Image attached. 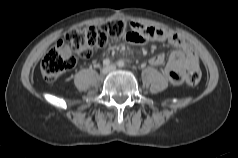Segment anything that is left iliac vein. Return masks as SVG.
Masks as SVG:
<instances>
[{"label":"left iliac vein","instance_id":"4c4485c4","mask_svg":"<svg viewBox=\"0 0 238 158\" xmlns=\"http://www.w3.org/2000/svg\"><path fill=\"white\" fill-rule=\"evenodd\" d=\"M108 69H109V71H114V70H116V66L112 64L108 67Z\"/></svg>","mask_w":238,"mask_h":158}]
</instances>
